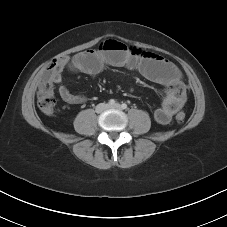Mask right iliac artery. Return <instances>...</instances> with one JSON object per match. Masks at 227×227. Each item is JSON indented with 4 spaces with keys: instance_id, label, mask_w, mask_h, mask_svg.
Segmentation results:
<instances>
[{
    "instance_id": "82829eb1",
    "label": "right iliac artery",
    "mask_w": 227,
    "mask_h": 227,
    "mask_svg": "<svg viewBox=\"0 0 227 227\" xmlns=\"http://www.w3.org/2000/svg\"><path fill=\"white\" fill-rule=\"evenodd\" d=\"M109 104H110V105H115V100H114V99H110V100H109Z\"/></svg>"
}]
</instances>
